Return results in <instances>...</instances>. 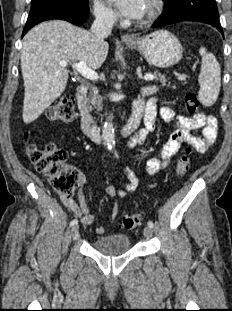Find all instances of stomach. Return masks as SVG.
<instances>
[{"instance_id":"0dacf381","label":"stomach","mask_w":232,"mask_h":311,"mask_svg":"<svg viewBox=\"0 0 232 311\" xmlns=\"http://www.w3.org/2000/svg\"><path fill=\"white\" fill-rule=\"evenodd\" d=\"M126 45L139 51L153 66L167 68L177 64L183 54L179 39L166 30H158Z\"/></svg>"}]
</instances>
